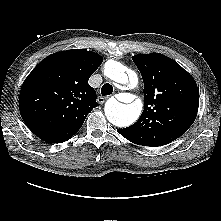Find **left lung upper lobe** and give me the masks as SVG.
Instances as JSON below:
<instances>
[{
	"mask_svg": "<svg viewBox=\"0 0 221 221\" xmlns=\"http://www.w3.org/2000/svg\"><path fill=\"white\" fill-rule=\"evenodd\" d=\"M132 60L144 82V111L136 123L123 130L135 144L166 145L195 121L199 89L186 70L163 54H139Z\"/></svg>",
	"mask_w": 221,
	"mask_h": 221,
	"instance_id": "5c2ea615",
	"label": "left lung upper lobe"
}]
</instances>
